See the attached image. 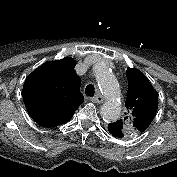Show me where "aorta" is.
Listing matches in <instances>:
<instances>
[{
    "instance_id": "obj_1",
    "label": "aorta",
    "mask_w": 177,
    "mask_h": 177,
    "mask_svg": "<svg viewBox=\"0 0 177 177\" xmlns=\"http://www.w3.org/2000/svg\"><path fill=\"white\" fill-rule=\"evenodd\" d=\"M100 91L106 98L101 106L100 114L106 121H116L121 114V105L117 102L120 96L118 82L113 73L104 63H97L93 67Z\"/></svg>"
}]
</instances>
